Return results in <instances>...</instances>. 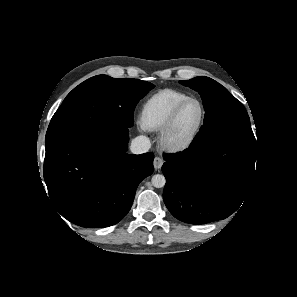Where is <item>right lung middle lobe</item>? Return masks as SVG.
Listing matches in <instances>:
<instances>
[{
  "mask_svg": "<svg viewBox=\"0 0 297 297\" xmlns=\"http://www.w3.org/2000/svg\"><path fill=\"white\" fill-rule=\"evenodd\" d=\"M154 85L138 79L97 75L82 82L64 99L49 124L46 151L81 134L133 126L135 106Z\"/></svg>",
  "mask_w": 297,
  "mask_h": 297,
  "instance_id": "obj_1",
  "label": "right lung middle lobe"
}]
</instances>
